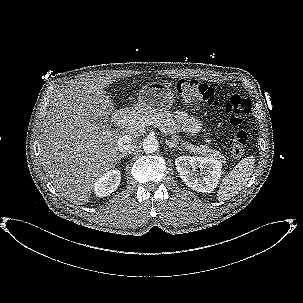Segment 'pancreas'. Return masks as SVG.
<instances>
[{
  "mask_svg": "<svg viewBox=\"0 0 303 303\" xmlns=\"http://www.w3.org/2000/svg\"><path fill=\"white\" fill-rule=\"evenodd\" d=\"M149 122H158L162 124L169 135H172L174 143L178 142L179 136L177 135L179 125L173 118V115L168 111H143L140 109L130 111L126 115L123 126L129 131H139L148 125ZM183 148L191 153L208 156L215 160L225 162V157L217 150L211 149L207 145H193L188 142L180 143Z\"/></svg>",
  "mask_w": 303,
  "mask_h": 303,
  "instance_id": "obj_1",
  "label": "pancreas"
}]
</instances>
